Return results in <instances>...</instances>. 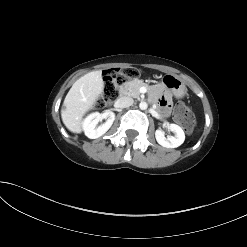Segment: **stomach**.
Returning a JSON list of instances; mask_svg holds the SVG:
<instances>
[{"label": "stomach", "mask_w": 247, "mask_h": 247, "mask_svg": "<svg viewBox=\"0 0 247 247\" xmlns=\"http://www.w3.org/2000/svg\"><path fill=\"white\" fill-rule=\"evenodd\" d=\"M162 83L176 98H182L187 93L185 84L175 75H164L162 78Z\"/></svg>", "instance_id": "1"}]
</instances>
